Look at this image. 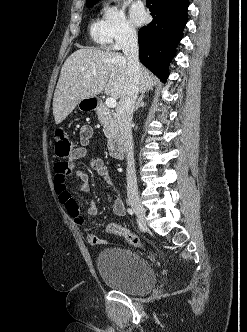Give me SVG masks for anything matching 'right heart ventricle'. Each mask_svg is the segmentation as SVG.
I'll return each instance as SVG.
<instances>
[{
	"instance_id": "e07e8e85",
	"label": "right heart ventricle",
	"mask_w": 247,
	"mask_h": 332,
	"mask_svg": "<svg viewBox=\"0 0 247 332\" xmlns=\"http://www.w3.org/2000/svg\"><path fill=\"white\" fill-rule=\"evenodd\" d=\"M89 32L93 42L97 46L103 49H109L111 47L104 17H95L90 23Z\"/></svg>"
}]
</instances>
